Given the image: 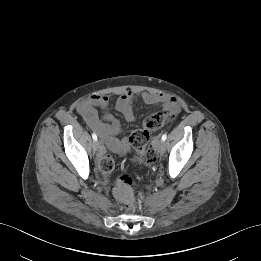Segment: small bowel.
I'll use <instances>...</instances> for the list:
<instances>
[{
  "mask_svg": "<svg viewBox=\"0 0 261 261\" xmlns=\"http://www.w3.org/2000/svg\"><path fill=\"white\" fill-rule=\"evenodd\" d=\"M140 99L149 106H162L173 114L180 110L179 100L165 93H143ZM135 100V94L127 91L120 95L115 102V109L128 122L135 120L133 110ZM109 105L108 96L94 94L79 102L78 112L88 126L95 130L109 147H114V137L122 132V127L118 119L109 111ZM97 108H101L104 111L103 116H99Z\"/></svg>",
  "mask_w": 261,
  "mask_h": 261,
  "instance_id": "obj_1",
  "label": "small bowel"
}]
</instances>
